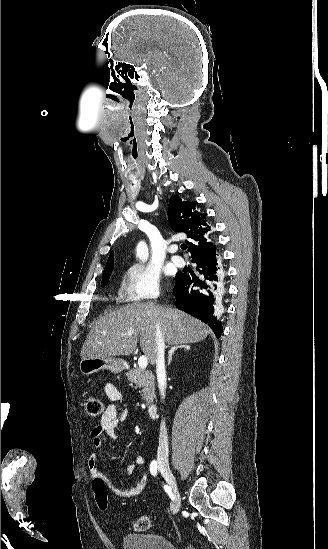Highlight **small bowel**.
<instances>
[{
  "mask_svg": "<svg viewBox=\"0 0 328 549\" xmlns=\"http://www.w3.org/2000/svg\"><path fill=\"white\" fill-rule=\"evenodd\" d=\"M104 390L106 396L111 401V403L106 407L100 419L99 425L91 431L92 450L88 459V470L90 472V475L94 479H105V476L101 473L98 467L103 436H107L112 440H117L119 438L117 428L128 417L127 410L119 411L117 406L115 405L116 402L122 400V394L120 390L112 383H107L104 387ZM145 463L146 460L143 456L137 455L133 457V459L127 463V474L129 476H132L135 471V466L144 465ZM147 480V474H143L136 481V483L128 489H122L119 486L114 485L112 481H110V484L116 494L124 497H135L140 495L144 491L147 485Z\"/></svg>",
  "mask_w": 328,
  "mask_h": 549,
  "instance_id": "small-bowel-1",
  "label": "small bowel"
}]
</instances>
